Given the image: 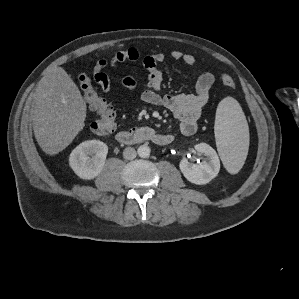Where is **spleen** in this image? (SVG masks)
<instances>
[{"label": "spleen", "mask_w": 299, "mask_h": 299, "mask_svg": "<svg viewBox=\"0 0 299 299\" xmlns=\"http://www.w3.org/2000/svg\"><path fill=\"white\" fill-rule=\"evenodd\" d=\"M217 150L231 174L242 168L249 146L248 124L240 104L232 97L220 101L214 125Z\"/></svg>", "instance_id": "1"}]
</instances>
